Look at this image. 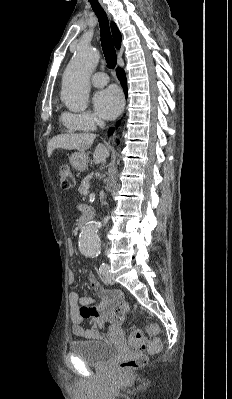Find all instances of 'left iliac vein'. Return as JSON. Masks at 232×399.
<instances>
[{"mask_svg": "<svg viewBox=\"0 0 232 399\" xmlns=\"http://www.w3.org/2000/svg\"><path fill=\"white\" fill-rule=\"evenodd\" d=\"M106 283H109L110 286L114 285V279L112 278V275L110 274V277H105Z\"/></svg>", "mask_w": 232, "mask_h": 399, "instance_id": "1", "label": "left iliac vein"}]
</instances>
